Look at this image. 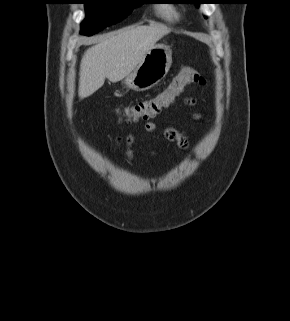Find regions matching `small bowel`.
<instances>
[{"label": "small bowel", "mask_w": 290, "mask_h": 321, "mask_svg": "<svg viewBox=\"0 0 290 321\" xmlns=\"http://www.w3.org/2000/svg\"><path fill=\"white\" fill-rule=\"evenodd\" d=\"M185 103L189 107H194L196 105V100L194 98H188L185 100ZM199 114H195V117H198ZM145 129L149 132H155L157 130V126L153 122H147L145 124ZM164 135L167 139H169L172 142H175L180 148L186 149L188 147V140L187 138L179 133L177 130H175L172 127H167L164 130ZM133 136L128 135L124 139H117L118 146H123L125 154L128 158H133V152L131 149L132 143H133Z\"/></svg>", "instance_id": "obj_1"}]
</instances>
